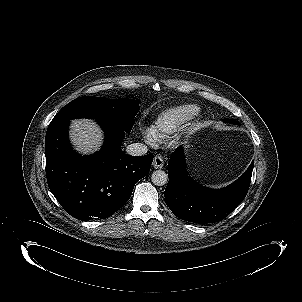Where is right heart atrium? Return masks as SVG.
Wrapping results in <instances>:
<instances>
[{"label":"right heart atrium","mask_w":302,"mask_h":302,"mask_svg":"<svg viewBox=\"0 0 302 302\" xmlns=\"http://www.w3.org/2000/svg\"><path fill=\"white\" fill-rule=\"evenodd\" d=\"M141 135L144 141L151 146H155L159 141L158 137L151 130L143 129Z\"/></svg>","instance_id":"1"}]
</instances>
